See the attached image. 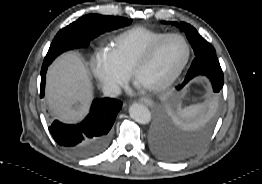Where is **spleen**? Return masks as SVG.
Segmentation results:
<instances>
[{"label":"spleen","mask_w":262,"mask_h":184,"mask_svg":"<svg viewBox=\"0 0 262 184\" xmlns=\"http://www.w3.org/2000/svg\"><path fill=\"white\" fill-rule=\"evenodd\" d=\"M203 104L193 105L189 106L185 109H182L178 112V115L182 117H192L196 115L198 112H200L203 109Z\"/></svg>","instance_id":"spleen-1"}]
</instances>
